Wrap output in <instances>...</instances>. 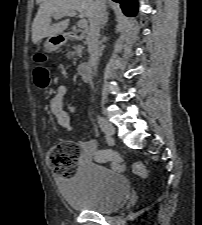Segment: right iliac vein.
<instances>
[{"mask_svg":"<svg viewBox=\"0 0 202 225\" xmlns=\"http://www.w3.org/2000/svg\"><path fill=\"white\" fill-rule=\"evenodd\" d=\"M98 123L101 130L105 133L106 137L112 138V136L115 134L114 126L100 116L98 117Z\"/></svg>","mask_w":202,"mask_h":225,"instance_id":"right-iliac-vein-1","label":"right iliac vein"}]
</instances>
